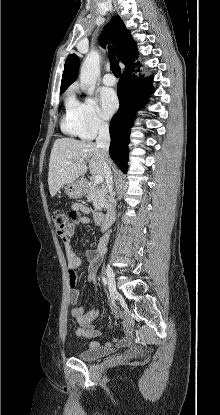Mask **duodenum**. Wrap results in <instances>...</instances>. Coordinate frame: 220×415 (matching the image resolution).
I'll return each instance as SVG.
<instances>
[{
    "instance_id": "1",
    "label": "duodenum",
    "mask_w": 220,
    "mask_h": 415,
    "mask_svg": "<svg viewBox=\"0 0 220 415\" xmlns=\"http://www.w3.org/2000/svg\"><path fill=\"white\" fill-rule=\"evenodd\" d=\"M116 216V208L114 206H109L107 209V214L105 218H103L101 225L104 230V235L108 234V228L110 223L114 220Z\"/></svg>"
}]
</instances>
